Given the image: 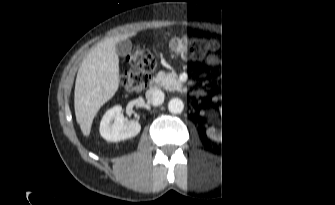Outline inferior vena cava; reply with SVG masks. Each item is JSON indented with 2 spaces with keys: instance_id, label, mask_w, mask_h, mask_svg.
Returning <instances> with one entry per match:
<instances>
[{
  "instance_id": "1",
  "label": "inferior vena cava",
  "mask_w": 335,
  "mask_h": 205,
  "mask_svg": "<svg viewBox=\"0 0 335 205\" xmlns=\"http://www.w3.org/2000/svg\"><path fill=\"white\" fill-rule=\"evenodd\" d=\"M148 99L154 104H160L164 100V93L159 89H150L147 92Z\"/></svg>"
}]
</instances>
